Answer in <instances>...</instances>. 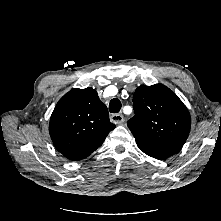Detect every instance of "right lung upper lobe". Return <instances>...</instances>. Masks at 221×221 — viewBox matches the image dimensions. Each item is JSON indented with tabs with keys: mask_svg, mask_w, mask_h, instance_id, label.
Returning <instances> with one entry per match:
<instances>
[{
	"mask_svg": "<svg viewBox=\"0 0 221 221\" xmlns=\"http://www.w3.org/2000/svg\"><path fill=\"white\" fill-rule=\"evenodd\" d=\"M114 128L106 105L92 88L73 89L65 94L57 103L49 124L54 146L71 160L89 156Z\"/></svg>",
	"mask_w": 221,
	"mask_h": 221,
	"instance_id": "right-lung-upper-lobe-1",
	"label": "right lung upper lobe"
}]
</instances>
